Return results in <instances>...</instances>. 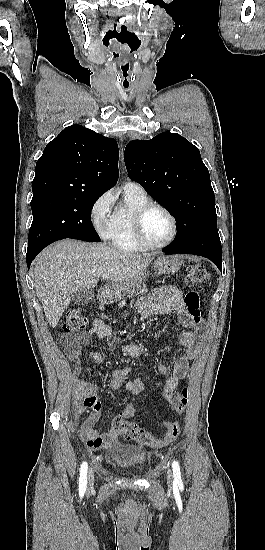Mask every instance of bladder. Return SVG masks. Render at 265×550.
<instances>
[{
  "instance_id": "bladder-1",
  "label": "bladder",
  "mask_w": 265,
  "mask_h": 550,
  "mask_svg": "<svg viewBox=\"0 0 265 550\" xmlns=\"http://www.w3.org/2000/svg\"><path fill=\"white\" fill-rule=\"evenodd\" d=\"M106 457L117 469L135 475L144 470L152 456L142 446L112 443L106 451Z\"/></svg>"
}]
</instances>
